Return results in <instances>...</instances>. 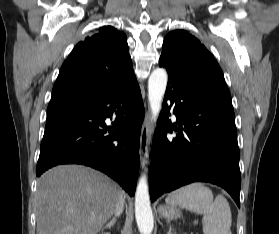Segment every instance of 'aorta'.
Segmentation results:
<instances>
[{
  "label": "aorta",
  "mask_w": 279,
  "mask_h": 234,
  "mask_svg": "<svg viewBox=\"0 0 279 234\" xmlns=\"http://www.w3.org/2000/svg\"><path fill=\"white\" fill-rule=\"evenodd\" d=\"M167 80V72L163 68L154 69L148 79V100L152 120L154 121L157 120L161 110ZM135 217L140 233L151 234L154 227V219L150 205L148 182L145 174L140 177L136 188Z\"/></svg>",
  "instance_id": "1"
}]
</instances>
